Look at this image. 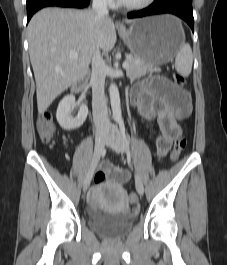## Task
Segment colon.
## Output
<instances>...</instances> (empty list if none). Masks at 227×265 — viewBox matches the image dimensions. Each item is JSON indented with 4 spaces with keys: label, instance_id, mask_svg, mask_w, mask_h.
Masks as SVG:
<instances>
[{
    "label": "colon",
    "instance_id": "1",
    "mask_svg": "<svg viewBox=\"0 0 227 265\" xmlns=\"http://www.w3.org/2000/svg\"><path fill=\"white\" fill-rule=\"evenodd\" d=\"M173 79H174V82L179 86H183L186 83L185 76L178 74V73H175L173 75ZM37 128H38V134L40 136V139L43 142H50L54 138L55 133H56V126L54 124V121H53V118L50 112H45L39 117ZM186 145H187V141L185 138L179 137L176 139L171 155H170V160L172 162H175L179 159L181 153L186 148ZM105 178H106L105 172L99 171L95 175L94 182L95 184H100L105 180ZM130 201L134 204L138 202V199L135 194L130 195Z\"/></svg>",
    "mask_w": 227,
    "mask_h": 265
}]
</instances>
